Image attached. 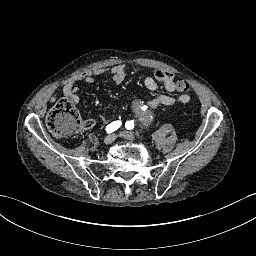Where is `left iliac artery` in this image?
<instances>
[{"label":"left iliac artery","instance_id":"left-iliac-artery-1","mask_svg":"<svg viewBox=\"0 0 256 256\" xmlns=\"http://www.w3.org/2000/svg\"><path fill=\"white\" fill-rule=\"evenodd\" d=\"M125 127H126L128 130L132 129V128L134 127V121H133V120L127 121V122L125 123Z\"/></svg>","mask_w":256,"mask_h":256}]
</instances>
